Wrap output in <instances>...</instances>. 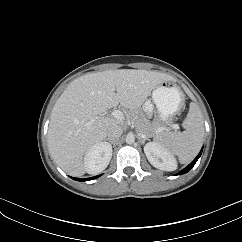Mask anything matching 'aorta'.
Masks as SVG:
<instances>
[{
	"mask_svg": "<svg viewBox=\"0 0 242 242\" xmlns=\"http://www.w3.org/2000/svg\"><path fill=\"white\" fill-rule=\"evenodd\" d=\"M127 144H133L135 141V137L133 134H128L125 138Z\"/></svg>",
	"mask_w": 242,
	"mask_h": 242,
	"instance_id": "762f6f07",
	"label": "aorta"
}]
</instances>
